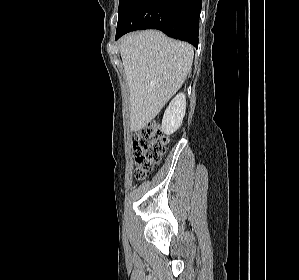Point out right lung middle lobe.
Masks as SVG:
<instances>
[{"instance_id":"right-lung-middle-lobe-1","label":"right lung middle lobe","mask_w":299,"mask_h":280,"mask_svg":"<svg viewBox=\"0 0 299 280\" xmlns=\"http://www.w3.org/2000/svg\"><path fill=\"white\" fill-rule=\"evenodd\" d=\"M124 0H119V8L121 7Z\"/></svg>"}]
</instances>
